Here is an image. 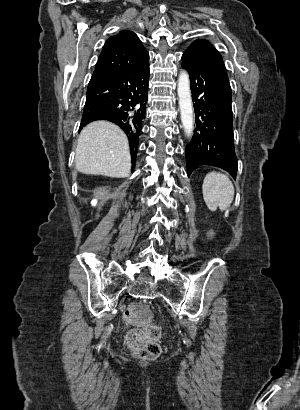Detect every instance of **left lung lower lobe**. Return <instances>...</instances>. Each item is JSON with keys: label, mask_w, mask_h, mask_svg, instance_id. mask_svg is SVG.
<instances>
[{"label": "left lung lower lobe", "mask_w": 300, "mask_h": 410, "mask_svg": "<svg viewBox=\"0 0 300 410\" xmlns=\"http://www.w3.org/2000/svg\"><path fill=\"white\" fill-rule=\"evenodd\" d=\"M182 67L190 75L196 127L185 150L187 175L201 165H212L235 176L238 169L234 150L231 87L228 76L201 65L186 53Z\"/></svg>", "instance_id": "1"}]
</instances>
